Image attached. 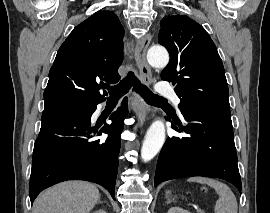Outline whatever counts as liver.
I'll return each mask as SVG.
<instances>
[{
    "instance_id": "1",
    "label": "liver",
    "mask_w": 270,
    "mask_h": 213,
    "mask_svg": "<svg viewBox=\"0 0 270 213\" xmlns=\"http://www.w3.org/2000/svg\"><path fill=\"white\" fill-rule=\"evenodd\" d=\"M99 198V190L91 183L63 182L37 197L33 213H89Z\"/></svg>"
}]
</instances>
